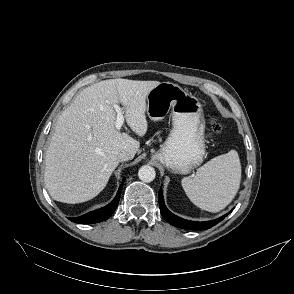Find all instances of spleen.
Listing matches in <instances>:
<instances>
[{
  "mask_svg": "<svg viewBox=\"0 0 294 294\" xmlns=\"http://www.w3.org/2000/svg\"><path fill=\"white\" fill-rule=\"evenodd\" d=\"M240 180V159L238 153L231 150L208 161L194 177L183 178L182 187L197 207L216 213L231 203Z\"/></svg>",
  "mask_w": 294,
  "mask_h": 294,
  "instance_id": "3e777b00",
  "label": "spleen"
}]
</instances>
